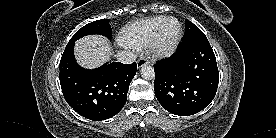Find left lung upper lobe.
<instances>
[{
  "label": "left lung upper lobe",
  "mask_w": 276,
  "mask_h": 138,
  "mask_svg": "<svg viewBox=\"0 0 276 138\" xmlns=\"http://www.w3.org/2000/svg\"><path fill=\"white\" fill-rule=\"evenodd\" d=\"M201 40H207L205 34L191 21L186 20L185 34L179 46H185Z\"/></svg>",
  "instance_id": "left-lung-upper-lobe-1"
}]
</instances>
